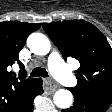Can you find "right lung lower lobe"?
<instances>
[{"instance_id":"98d812e1","label":"right lung lower lobe","mask_w":112,"mask_h":112,"mask_svg":"<svg viewBox=\"0 0 112 112\" xmlns=\"http://www.w3.org/2000/svg\"><path fill=\"white\" fill-rule=\"evenodd\" d=\"M42 93V79H38L16 112H33V99Z\"/></svg>"}]
</instances>
